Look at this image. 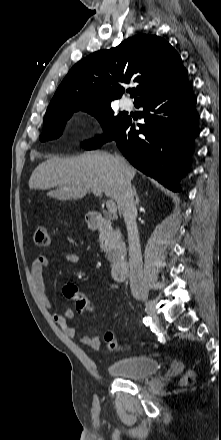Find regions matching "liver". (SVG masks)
Segmentation results:
<instances>
[{
    "label": "liver",
    "mask_w": 221,
    "mask_h": 440,
    "mask_svg": "<svg viewBox=\"0 0 221 440\" xmlns=\"http://www.w3.org/2000/svg\"><path fill=\"white\" fill-rule=\"evenodd\" d=\"M123 172L114 155L105 151H93L71 159L50 158L33 171L29 187L47 190L48 196L58 200H77L88 191L97 190L117 203L122 212L121 192L125 178L132 180L136 170L125 162Z\"/></svg>",
    "instance_id": "6515ba94"
}]
</instances>
